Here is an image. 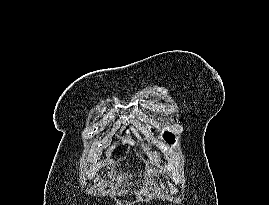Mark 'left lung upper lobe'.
Listing matches in <instances>:
<instances>
[{
  "mask_svg": "<svg viewBox=\"0 0 269 205\" xmlns=\"http://www.w3.org/2000/svg\"><path fill=\"white\" fill-rule=\"evenodd\" d=\"M164 137L167 139L168 142H171V143H173L175 140V136L172 135L171 133L166 132Z\"/></svg>",
  "mask_w": 269,
  "mask_h": 205,
  "instance_id": "left-lung-upper-lobe-1",
  "label": "left lung upper lobe"
}]
</instances>
